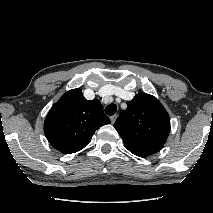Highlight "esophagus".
I'll use <instances>...</instances> for the list:
<instances>
[{"label": "esophagus", "instance_id": "1", "mask_svg": "<svg viewBox=\"0 0 213 213\" xmlns=\"http://www.w3.org/2000/svg\"><path fill=\"white\" fill-rule=\"evenodd\" d=\"M116 119H117V115L116 114L113 115V116H111L110 117L111 123L114 124V122L116 121Z\"/></svg>", "mask_w": 213, "mask_h": 213}]
</instances>
